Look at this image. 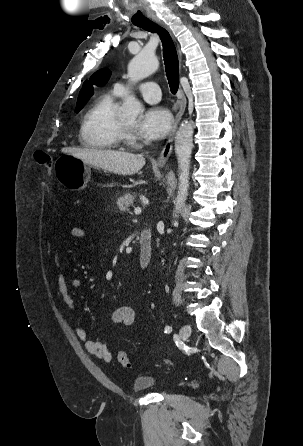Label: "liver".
I'll return each mask as SVG.
<instances>
[{"label":"liver","instance_id":"liver-1","mask_svg":"<svg viewBox=\"0 0 303 446\" xmlns=\"http://www.w3.org/2000/svg\"><path fill=\"white\" fill-rule=\"evenodd\" d=\"M62 152L96 168L124 176L137 173L145 165V158L141 154L73 147L64 148Z\"/></svg>","mask_w":303,"mask_h":446}]
</instances>
